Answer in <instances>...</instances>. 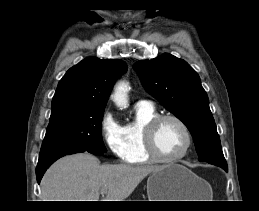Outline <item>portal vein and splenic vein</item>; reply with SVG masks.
Segmentation results:
<instances>
[{"label": "portal vein and splenic vein", "mask_w": 259, "mask_h": 211, "mask_svg": "<svg viewBox=\"0 0 259 211\" xmlns=\"http://www.w3.org/2000/svg\"><path fill=\"white\" fill-rule=\"evenodd\" d=\"M102 195H104V194H106L107 193V191L106 190H101V192H100Z\"/></svg>", "instance_id": "obj_1"}]
</instances>
